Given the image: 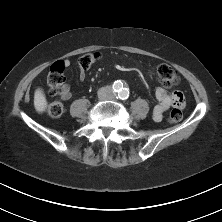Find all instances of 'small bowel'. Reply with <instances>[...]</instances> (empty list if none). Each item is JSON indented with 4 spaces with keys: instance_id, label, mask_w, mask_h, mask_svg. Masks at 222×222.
<instances>
[{
    "instance_id": "c3829d8e",
    "label": "small bowel",
    "mask_w": 222,
    "mask_h": 222,
    "mask_svg": "<svg viewBox=\"0 0 222 222\" xmlns=\"http://www.w3.org/2000/svg\"><path fill=\"white\" fill-rule=\"evenodd\" d=\"M69 64H70L69 61L65 62L66 66H69ZM150 71L152 72V70H150ZM79 78L81 81H84L86 78V72L83 69H80V71H79ZM157 82H159V81H157ZM155 95L158 100V104L153 108L152 117L157 122L162 120L163 114L167 110H169L171 107L176 110H179V109L183 108V106L185 104L184 94L178 90H175L172 92H167L163 88L159 87L156 89ZM61 98L66 101L70 100L72 98V93H71V90H70V87L68 84L64 85V92L61 95Z\"/></svg>"
}]
</instances>
